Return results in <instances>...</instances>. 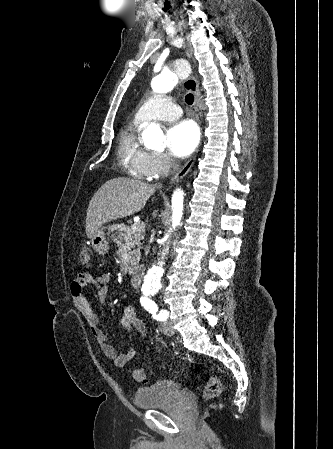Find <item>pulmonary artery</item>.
<instances>
[{"mask_svg":"<svg viewBox=\"0 0 333 449\" xmlns=\"http://www.w3.org/2000/svg\"><path fill=\"white\" fill-rule=\"evenodd\" d=\"M182 110L170 97L158 95L147 100L136 112L135 118L141 124L152 120H174L181 116Z\"/></svg>","mask_w":333,"mask_h":449,"instance_id":"e3ab8cb5","label":"pulmonary artery"}]
</instances>
